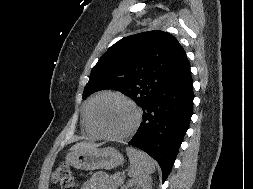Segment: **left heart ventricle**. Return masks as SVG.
I'll return each instance as SVG.
<instances>
[{"label":"left heart ventricle","instance_id":"b2bd125f","mask_svg":"<svg viewBox=\"0 0 253 189\" xmlns=\"http://www.w3.org/2000/svg\"><path fill=\"white\" fill-rule=\"evenodd\" d=\"M94 115L100 128L113 135L127 132L135 117L132 108L116 97H105L99 100Z\"/></svg>","mask_w":253,"mask_h":189}]
</instances>
